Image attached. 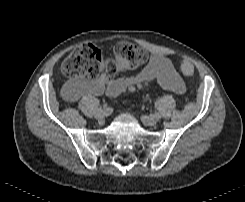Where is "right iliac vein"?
Instances as JSON below:
<instances>
[{
	"label": "right iliac vein",
	"instance_id": "obj_1",
	"mask_svg": "<svg viewBox=\"0 0 245 202\" xmlns=\"http://www.w3.org/2000/svg\"><path fill=\"white\" fill-rule=\"evenodd\" d=\"M109 113H107L105 110H97L95 112V118L98 120H101L105 116H107Z\"/></svg>",
	"mask_w": 245,
	"mask_h": 202
}]
</instances>
